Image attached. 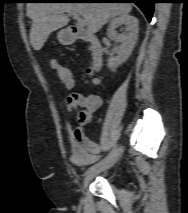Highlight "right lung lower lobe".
Segmentation results:
<instances>
[{
    "mask_svg": "<svg viewBox=\"0 0 188 213\" xmlns=\"http://www.w3.org/2000/svg\"><path fill=\"white\" fill-rule=\"evenodd\" d=\"M33 1H45V0H33ZM96 1H122V3H135L144 12L147 19L150 21L153 14L154 3L156 0H96Z\"/></svg>",
    "mask_w": 188,
    "mask_h": 213,
    "instance_id": "1",
    "label": "right lung lower lobe"
}]
</instances>
